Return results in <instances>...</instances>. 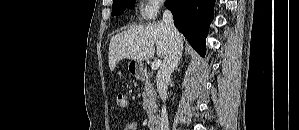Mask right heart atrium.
I'll use <instances>...</instances> for the list:
<instances>
[{"mask_svg":"<svg viewBox=\"0 0 299 130\" xmlns=\"http://www.w3.org/2000/svg\"><path fill=\"white\" fill-rule=\"evenodd\" d=\"M163 4L161 0H146L143 1L140 13L144 20L151 21L156 18Z\"/></svg>","mask_w":299,"mask_h":130,"instance_id":"obj_1","label":"right heart atrium"}]
</instances>
